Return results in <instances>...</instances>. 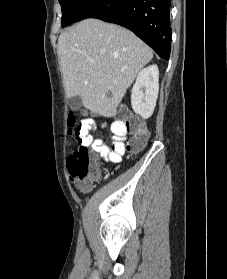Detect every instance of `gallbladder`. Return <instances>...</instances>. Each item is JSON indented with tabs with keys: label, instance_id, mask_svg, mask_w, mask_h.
Segmentation results:
<instances>
[{
	"label": "gallbladder",
	"instance_id": "1",
	"mask_svg": "<svg viewBox=\"0 0 227 279\" xmlns=\"http://www.w3.org/2000/svg\"><path fill=\"white\" fill-rule=\"evenodd\" d=\"M70 108L77 110L82 106V100L80 96H74L69 99Z\"/></svg>",
	"mask_w": 227,
	"mask_h": 279
}]
</instances>
